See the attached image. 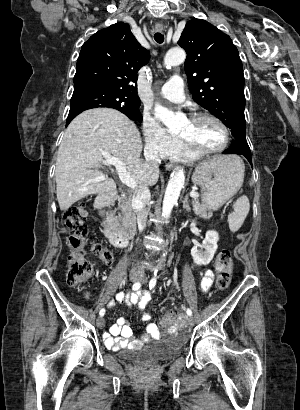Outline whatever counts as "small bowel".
Segmentation results:
<instances>
[{
	"instance_id": "c3829d8e",
	"label": "small bowel",
	"mask_w": 300,
	"mask_h": 410,
	"mask_svg": "<svg viewBox=\"0 0 300 410\" xmlns=\"http://www.w3.org/2000/svg\"><path fill=\"white\" fill-rule=\"evenodd\" d=\"M215 278V273L212 270H206L201 279V288L204 292L209 291ZM88 295V293H86ZM151 299V295L148 291H138L131 294L119 293L117 300L124 302L128 305H136L141 311L142 320L148 322L146 331L140 339L135 338L133 330L128 321L120 317L110 327L108 333L104 334L105 345L112 349L118 350L120 348H133L140 346L142 343L156 339L159 337L158 326L154 323H149L150 316L145 312L148 302ZM114 302L109 303V307H113ZM175 331V327L172 328Z\"/></svg>"
}]
</instances>
